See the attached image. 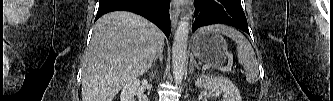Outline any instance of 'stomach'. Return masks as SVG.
Instances as JSON below:
<instances>
[{"label":"stomach","instance_id":"0dacf381","mask_svg":"<svg viewBox=\"0 0 333 101\" xmlns=\"http://www.w3.org/2000/svg\"><path fill=\"white\" fill-rule=\"evenodd\" d=\"M192 52L199 61L221 65L228 56V45L219 33L200 31L194 36Z\"/></svg>","mask_w":333,"mask_h":101}]
</instances>
